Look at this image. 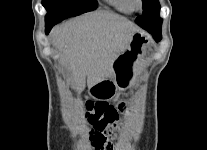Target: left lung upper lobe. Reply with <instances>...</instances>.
Instances as JSON below:
<instances>
[{"instance_id":"1","label":"left lung upper lobe","mask_w":207,"mask_h":150,"mask_svg":"<svg viewBox=\"0 0 207 150\" xmlns=\"http://www.w3.org/2000/svg\"><path fill=\"white\" fill-rule=\"evenodd\" d=\"M143 14L135 22L148 32H161L162 19L159 16L160 4L158 0H142Z\"/></svg>"}]
</instances>
